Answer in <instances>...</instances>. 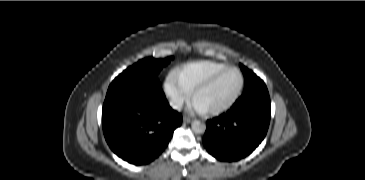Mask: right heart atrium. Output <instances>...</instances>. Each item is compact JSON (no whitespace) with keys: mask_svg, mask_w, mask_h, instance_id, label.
Here are the masks:
<instances>
[{"mask_svg":"<svg viewBox=\"0 0 365 180\" xmlns=\"http://www.w3.org/2000/svg\"><path fill=\"white\" fill-rule=\"evenodd\" d=\"M164 91L175 109H180L188 101L190 95L179 82L175 71L166 77Z\"/></svg>","mask_w":365,"mask_h":180,"instance_id":"obj_1","label":"right heart atrium"}]
</instances>
